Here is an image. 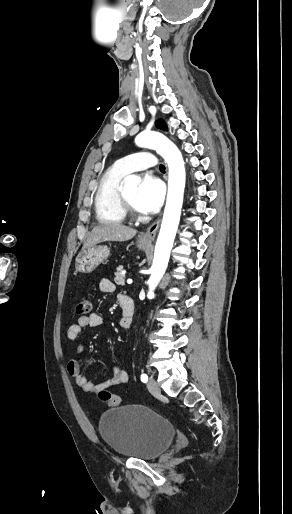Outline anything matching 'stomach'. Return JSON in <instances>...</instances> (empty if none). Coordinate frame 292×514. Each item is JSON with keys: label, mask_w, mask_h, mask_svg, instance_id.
Returning a JSON list of instances; mask_svg holds the SVG:
<instances>
[{"label": "stomach", "mask_w": 292, "mask_h": 514, "mask_svg": "<svg viewBox=\"0 0 292 514\" xmlns=\"http://www.w3.org/2000/svg\"><path fill=\"white\" fill-rule=\"evenodd\" d=\"M151 242H137V248L144 250L146 246H149ZM110 256V250L107 246H91V248H84L78 254L75 260L76 270L83 272V274H89L93 272L99 264H103Z\"/></svg>", "instance_id": "1"}]
</instances>
